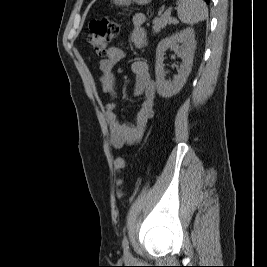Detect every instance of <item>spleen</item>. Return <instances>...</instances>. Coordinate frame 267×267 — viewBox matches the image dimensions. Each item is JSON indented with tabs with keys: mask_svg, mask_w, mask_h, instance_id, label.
<instances>
[{
	"mask_svg": "<svg viewBox=\"0 0 267 267\" xmlns=\"http://www.w3.org/2000/svg\"><path fill=\"white\" fill-rule=\"evenodd\" d=\"M178 17L185 24H194L208 17V8L203 0H178Z\"/></svg>",
	"mask_w": 267,
	"mask_h": 267,
	"instance_id": "spleen-1",
	"label": "spleen"
}]
</instances>
